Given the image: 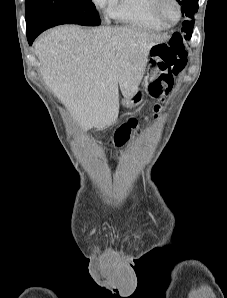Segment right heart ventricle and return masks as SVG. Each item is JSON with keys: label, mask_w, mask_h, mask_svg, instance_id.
<instances>
[{"label": "right heart ventricle", "mask_w": 227, "mask_h": 298, "mask_svg": "<svg viewBox=\"0 0 227 298\" xmlns=\"http://www.w3.org/2000/svg\"><path fill=\"white\" fill-rule=\"evenodd\" d=\"M151 6L152 0H108L104 8L122 24L143 30L166 29L168 26L153 15Z\"/></svg>", "instance_id": "right-heart-ventricle-1"}]
</instances>
